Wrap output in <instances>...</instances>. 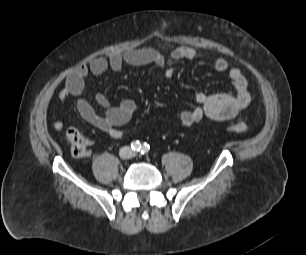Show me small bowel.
<instances>
[{
	"label": "small bowel",
	"mask_w": 306,
	"mask_h": 255,
	"mask_svg": "<svg viewBox=\"0 0 306 255\" xmlns=\"http://www.w3.org/2000/svg\"><path fill=\"white\" fill-rule=\"evenodd\" d=\"M201 56L200 52L189 46H180L165 55L160 50L144 47L126 52H114L108 57H96L88 64L77 66L66 78L63 89L60 92V100L65 101L69 97H79L85 87V79L89 74L101 75L108 69L119 71L124 66H145L153 65L162 70L165 78L173 77L176 65L183 60H193ZM214 69L221 73H227L233 83V93L206 94L199 92L195 96L196 105L191 109L182 110L178 113L177 119L184 127H190L200 122L204 117L216 121H228L235 118L238 113L246 108L251 101V93L248 81L240 69L230 67L228 61L217 58L213 63ZM97 104L103 108L99 112L84 98H78L76 106L80 116L109 135L118 139L124 135L121 126L131 120L136 104L131 99H123L116 106H110L108 98L104 94L96 96ZM55 130H62L64 124L55 121Z\"/></svg>",
	"instance_id": "obj_1"
}]
</instances>
